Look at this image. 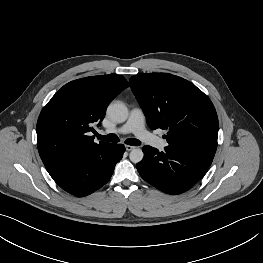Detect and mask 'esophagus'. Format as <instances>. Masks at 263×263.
<instances>
[{
  "label": "esophagus",
  "instance_id": "obj_1",
  "mask_svg": "<svg viewBox=\"0 0 263 263\" xmlns=\"http://www.w3.org/2000/svg\"><path fill=\"white\" fill-rule=\"evenodd\" d=\"M125 148L127 151H131L133 150L135 147L134 146H131V145H125Z\"/></svg>",
  "mask_w": 263,
  "mask_h": 263
}]
</instances>
